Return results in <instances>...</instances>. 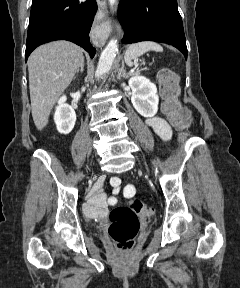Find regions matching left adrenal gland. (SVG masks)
<instances>
[{
    "label": "left adrenal gland",
    "instance_id": "left-adrenal-gland-1",
    "mask_svg": "<svg viewBox=\"0 0 240 288\" xmlns=\"http://www.w3.org/2000/svg\"><path fill=\"white\" fill-rule=\"evenodd\" d=\"M121 77L125 79L129 77L128 73H126V70L124 69V60H122V65L118 71L117 79H121Z\"/></svg>",
    "mask_w": 240,
    "mask_h": 288
}]
</instances>
